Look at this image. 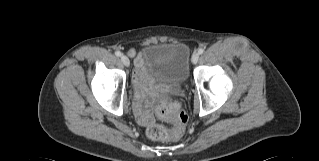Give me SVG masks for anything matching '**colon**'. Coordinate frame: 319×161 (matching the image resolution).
<instances>
[{
  "mask_svg": "<svg viewBox=\"0 0 319 161\" xmlns=\"http://www.w3.org/2000/svg\"><path fill=\"white\" fill-rule=\"evenodd\" d=\"M155 113L162 121L171 123L172 128L160 123L151 125L148 129L151 139L176 141L183 136L188 117L179 101L173 98L162 99L157 103Z\"/></svg>",
  "mask_w": 319,
  "mask_h": 161,
  "instance_id": "colon-1",
  "label": "colon"
}]
</instances>
